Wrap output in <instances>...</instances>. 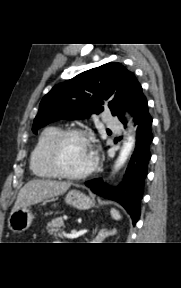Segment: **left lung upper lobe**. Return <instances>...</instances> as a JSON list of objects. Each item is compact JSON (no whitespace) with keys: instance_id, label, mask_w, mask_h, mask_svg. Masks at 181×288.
<instances>
[{"instance_id":"obj_1","label":"left lung upper lobe","mask_w":181,"mask_h":288,"mask_svg":"<svg viewBox=\"0 0 181 288\" xmlns=\"http://www.w3.org/2000/svg\"><path fill=\"white\" fill-rule=\"evenodd\" d=\"M141 89L135 75L122 64L109 62L54 86L42 99L32 131L59 119H83L108 107L123 119L121 105L130 110Z\"/></svg>"}]
</instances>
